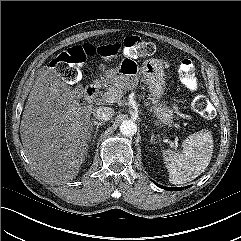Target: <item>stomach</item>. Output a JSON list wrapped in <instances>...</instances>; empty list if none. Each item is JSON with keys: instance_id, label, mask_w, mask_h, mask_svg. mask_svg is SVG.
<instances>
[{"instance_id": "obj_1", "label": "stomach", "mask_w": 241, "mask_h": 241, "mask_svg": "<svg viewBox=\"0 0 241 241\" xmlns=\"http://www.w3.org/2000/svg\"><path fill=\"white\" fill-rule=\"evenodd\" d=\"M141 80L148 88L154 103V114L163 124L169 123L172 119V111L159 99L165 90V74L162 64L155 59H149L139 66L136 61L124 59L114 74V81L119 83L121 88L128 89L137 85Z\"/></svg>"}]
</instances>
